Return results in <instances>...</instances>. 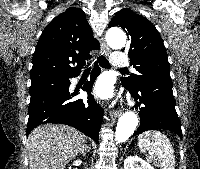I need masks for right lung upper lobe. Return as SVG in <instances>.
I'll return each mask as SVG.
<instances>
[{"mask_svg":"<svg viewBox=\"0 0 200 169\" xmlns=\"http://www.w3.org/2000/svg\"><path fill=\"white\" fill-rule=\"evenodd\" d=\"M83 10L71 7L53 19L37 43L31 85L79 72L91 50L99 49ZM72 64H76L72 67Z\"/></svg>","mask_w":200,"mask_h":169,"instance_id":"right-lung-upper-lobe-1","label":"right lung upper lobe"}]
</instances>
